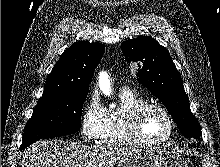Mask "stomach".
<instances>
[{
    "label": "stomach",
    "instance_id": "stomach-1",
    "mask_svg": "<svg viewBox=\"0 0 220 167\" xmlns=\"http://www.w3.org/2000/svg\"><path fill=\"white\" fill-rule=\"evenodd\" d=\"M118 167H188L178 154L166 148H131L120 160Z\"/></svg>",
    "mask_w": 220,
    "mask_h": 167
}]
</instances>
